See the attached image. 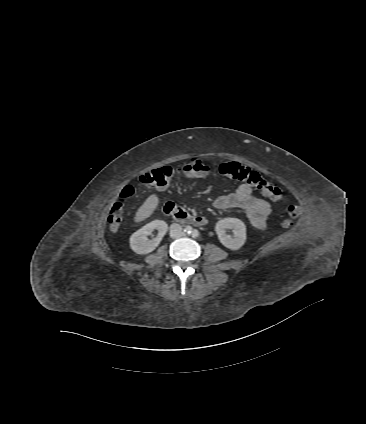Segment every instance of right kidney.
Instances as JSON below:
<instances>
[{"mask_svg": "<svg viewBox=\"0 0 366 424\" xmlns=\"http://www.w3.org/2000/svg\"><path fill=\"white\" fill-rule=\"evenodd\" d=\"M168 225L165 221L154 220L141 229L136 231L130 237V246L131 249L140 255L148 254L157 248L162 238L166 234ZM157 230L158 234L152 240L147 239V236L152 233V231Z\"/></svg>", "mask_w": 366, "mask_h": 424, "instance_id": "ca27d5eb", "label": "right kidney"}]
</instances>
